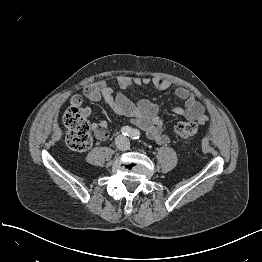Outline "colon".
I'll use <instances>...</instances> for the list:
<instances>
[{"label":"colon","instance_id":"obj_1","mask_svg":"<svg viewBox=\"0 0 262 262\" xmlns=\"http://www.w3.org/2000/svg\"><path fill=\"white\" fill-rule=\"evenodd\" d=\"M63 121L68 145L76 151L88 149L92 144V136L86 113L77 104L71 103L64 112ZM175 131L182 142L188 144L197 131V123L180 121L175 125Z\"/></svg>","mask_w":262,"mask_h":262}]
</instances>
